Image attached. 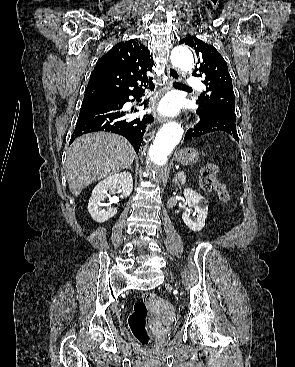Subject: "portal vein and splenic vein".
<instances>
[{
  "label": "portal vein and splenic vein",
  "mask_w": 295,
  "mask_h": 367,
  "mask_svg": "<svg viewBox=\"0 0 295 367\" xmlns=\"http://www.w3.org/2000/svg\"><path fill=\"white\" fill-rule=\"evenodd\" d=\"M177 175H178V176H182V175H184V172H183V171H179V172L177 173Z\"/></svg>",
  "instance_id": "obj_1"
}]
</instances>
